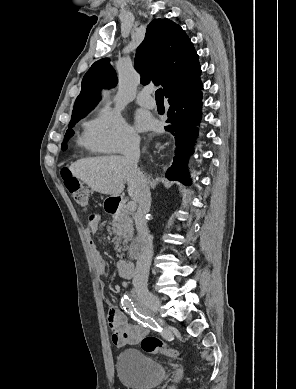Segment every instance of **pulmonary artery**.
Instances as JSON below:
<instances>
[{
  "label": "pulmonary artery",
  "instance_id": "obj_1",
  "mask_svg": "<svg viewBox=\"0 0 296 389\" xmlns=\"http://www.w3.org/2000/svg\"><path fill=\"white\" fill-rule=\"evenodd\" d=\"M152 90L150 88H144L137 95V102L144 107L153 108L155 106V101L151 96Z\"/></svg>",
  "mask_w": 296,
  "mask_h": 389
}]
</instances>
